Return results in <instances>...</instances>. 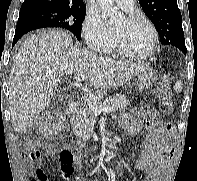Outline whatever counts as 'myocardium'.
<instances>
[{"label": "myocardium", "mask_w": 197, "mask_h": 181, "mask_svg": "<svg viewBox=\"0 0 197 181\" xmlns=\"http://www.w3.org/2000/svg\"><path fill=\"white\" fill-rule=\"evenodd\" d=\"M126 20L129 23L145 24L152 32L153 43H152V46L148 52L138 54V53H134V52L129 51L120 42L119 38L114 34V47H115L116 51L119 54H121L127 58H131V59L144 60V59H148V58L152 57L156 53V51L159 47V34H158V31H157L156 27L154 26V24L150 20H148L147 18L142 17V16H138V15H130L129 17H127Z\"/></svg>", "instance_id": "myocardium-1"}]
</instances>
